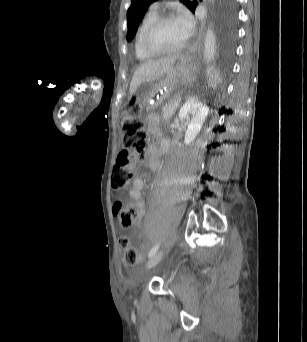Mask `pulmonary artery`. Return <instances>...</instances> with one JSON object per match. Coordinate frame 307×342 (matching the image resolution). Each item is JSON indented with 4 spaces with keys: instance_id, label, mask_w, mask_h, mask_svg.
Masks as SVG:
<instances>
[{
    "instance_id": "pulmonary-artery-1",
    "label": "pulmonary artery",
    "mask_w": 307,
    "mask_h": 342,
    "mask_svg": "<svg viewBox=\"0 0 307 342\" xmlns=\"http://www.w3.org/2000/svg\"><path fill=\"white\" fill-rule=\"evenodd\" d=\"M150 8L154 11H157L159 9L158 1H152Z\"/></svg>"
}]
</instances>
